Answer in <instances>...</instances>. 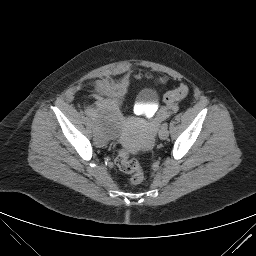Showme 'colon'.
I'll list each match as a JSON object with an SVG mask.
<instances>
[{
  "mask_svg": "<svg viewBox=\"0 0 256 256\" xmlns=\"http://www.w3.org/2000/svg\"><path fill=\"white\" fill-rule=\"evenodd\" d=\"M188 93L189 88L186 85H180L179 87L167 92L163 97V101L168 107H172L178 101L185 98ZM116 164L121 171L131 174L129 179V183L131 185H138L144 180V173L141 166L137 161L131 159L125 150H118Z\"/></svg>",
  "mask_w": 256,
  "mask_h": 256,
  "instance_id": "obj_1",
  "label": "colon"
}]
</instances>
